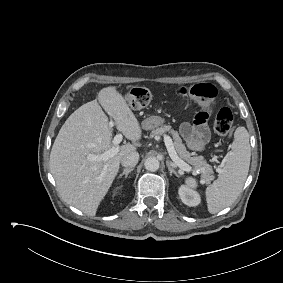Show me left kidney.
<instances>
[{"instance_id": "1", "label": "left kidney", "mask_w": 283, "mask_h": 283, "mask_svg": "<svg viewBox=\"0 0 283 283\" xmlns=\"http://www.w3.org/2000/svg\"><path fill=\"white\" fill-rule=\"evenodd\" d=\"M179 196L182 202L187 206H197L201 202L200 195L195 190L186 186L179 188Z\"/></svg>"}]
</instances>
